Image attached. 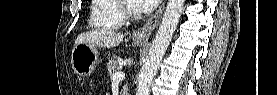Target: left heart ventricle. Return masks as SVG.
<instances>
[{
  "mask_svg": "<svg viewBox=\"0 0 277 95\" xmlns=\"http://www.w3.org/2000/svg\"><path fill=\"white\" fill-rule=\"evenodd\" d=\"M132 8H133V9H139L138 6H137V4H136V2H133Z\"/></svg>",
  "mask_w": 277,
  "mask_h": 95,
  "instance_id": "left-heart-ventricle-1",
  "label": "left heart ventricle"
}]
</instances>
